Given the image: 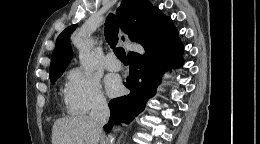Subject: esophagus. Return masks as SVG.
I'll list each match as a JSON object with an SVG mask.
<instances>
[{
    "instance_id": "obj_1",
    "label": "esophagus",
    "mask_w": 260,
    "mask_h": 144,
    "mask_svg": "<svg viewBox=\"0 0 260 144\" xmlns=\"http://www.w3.org/2000/svg\"><path fill=\"white\" fill-rule=\"evenodd\" d=\"M120 40H121L122 44H124L126 42V36L123 32L120 33Z\"/></svg>"
}]
</instances>
